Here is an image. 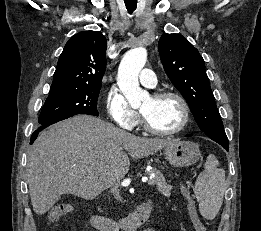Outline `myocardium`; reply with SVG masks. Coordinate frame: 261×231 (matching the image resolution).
I'll return each mask as SVG.
<instances>
[{
    "label": "myocardium",
    "instance_id": "obj_1",
    "mask_svg": "<svg viewBox=\"0 0 261 231\" xmlns=\"http://www.w3.org/2000/svg\"><path fill=\"white\" fill-rule=\"evenodd\" d=\"M152 98L155 100H160L163 98L176 99L179 102L181 109H182V121H181V124L177 128L170 130V131H162V130L155 128L150 123L147 116L142 111H140L142 124L146 131H148L151 134L158 135V136H173V135L179 134L187 127L189 120H190V108H189V105H188L186 99L181 94L173 92V91H161V92L154 93L152 95Z\"/></svg>",
    "mask_w": 261,
    "mask_h": 231
}]
</instances>
